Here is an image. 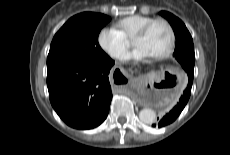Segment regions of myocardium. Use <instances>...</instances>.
I'll use <instances>...</instances> for the list:
<instances>
[{
  "mask_svg": "<svg viewBox=\"0 0 230 155\" xmlns=\"http://www.w3.org/2000/svg\"><path fill=\"white\" fill-rule=\"evenodd\" d=\"M157 23H163L166 25V27L168 28V31H169V35H170V40H169V45L168 47L166 48L165 51H163L162 53L154 56L153 58L155 60H161V59H164V58H167L169 57L174 48H175V44H176V34H175V30H174V27L172 26V24L167 20V19H164V18H156V19H153L152 21H150L149 23H147L146 25H144L137 33L136 35L134 36V40L135 39H138V38H142V37H145L149 31L151 30V28L157 24Z\"/></svg>",
  "mask_w": 230,
  "mask_h": 155,
  "instance_id": "obj_1",
  "label": "myocardium"
}]
</instances>
